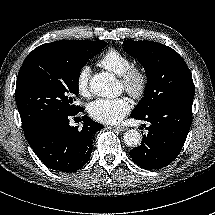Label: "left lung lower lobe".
Instances as JSON below:
<instances>
[{
	"label": "left lung lower lobe",
	"instance_id": "1",
	"mask_svg": "<svg viewBox=\"0 0 215 215\" xmlns=\"http://www.w3.org/2000/svg\"><path fill=\"white\" fill-rule=\"evenodd\" d=\"M193 99H185L159 106L144 116H131L148 121V134L141 145L132 149L134 163L146 170L169 165L180 153L192 122Z\"/></svg>",
	"mask_w": 215,
	"mask_h": 215
}]
</instances>
